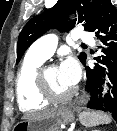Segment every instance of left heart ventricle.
Segmentation results:
<instances>
[{
    "label": "left heart ventricle",
    "instance_id": "obj_1",
    "mask_svg": "<svg viewBox=\"0 0 117 131\" xmlns=\"http://www.w3.org/2000/svg\"><path fill=\"white\" fill-rule=\"evenodd\" d=\"M45 78L50 86V88L56 94H66L70 92L74 86L67 84L60 75V70L58 67L49 68L45 71Z\"/></svg>",
    "mask_w": 117,
    "mask_h": 131
}]
</instances>
